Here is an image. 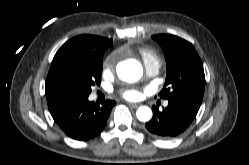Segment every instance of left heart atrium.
I'll use <instances>...</instances> for the list:
<instances>
[{
  "label": "left heart atrium",
  "mask_w": 249,
  "mask_h": 165,
  "mask_svg": "<svg viewBox=\"0 0 249 165\" xmlns=\"http://www.w3.org/2000/svg\"><path fill=\"white\" fill-rule=\"evenodd\" d=\"M121 95L127 100H137L141 97L142 92L136 88H127L121 90Z\"/></svg>",
  "instance_id": "1"
}]
</instances>
